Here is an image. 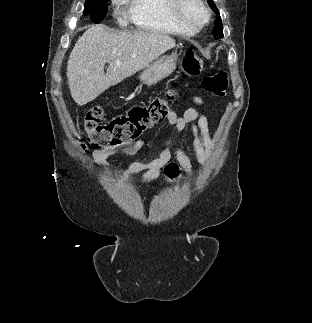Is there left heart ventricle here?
<instances>
[{"label": "left heart ventricle", "instance_id": "1", "mask_svg": "<svg viewBox=\"0 0 312 323\" xmlns=\"http://www.w3.org/2000/svg\"><path fill=\"white\" fill-rule=\"evenodd\" d=\"M182 12L185 18H204L205 7H198L197 2H186Z\"/></svg>", "mask_w": 312, "mask_h": 323}]
</instances>
